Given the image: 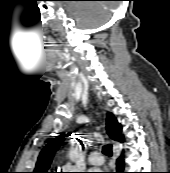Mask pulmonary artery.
I'll return each instance as SVG.
<instances>
[{"mask_svg":"<svg viewBox=\"0 0 170 173\" xmlns=\"http://www.w3.org/2000/svg\"><path fill=\"white\" fill-rule=\"evenodd\" d=\"M88 160L90 164L95 165V166H100L104 163V158L102 154L98 151H92L89 154Z\"/></svg>","mask_w":170,"mask_h":173,"instance_id":"obj_1","label":"pulmonary artery"}]
</instances>
